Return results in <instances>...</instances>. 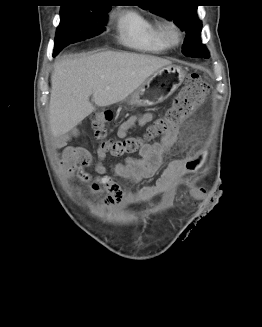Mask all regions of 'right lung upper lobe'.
<instances>
[{
  "label": "right lung upper lobe",
  "mask_w": 262,
  "mask_h": 327,
  "mask_svg": "<svg viewBox=\"0 0 262 327\" xmlns=\"http://www.w3.org/2000/svg\"><path fill=\"white\" fill-rule=\"evenodd\" d=\"M66 3L70 4H76V3H88V4H95V5H100V6H105L102 3H104V0H63ZM110 7V6H107Z\"/></svg>",
  "instance_id": "1"
}]
</instances>
